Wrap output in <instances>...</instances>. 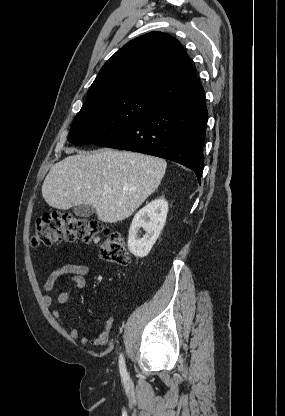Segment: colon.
Instances as JSON below:
<instances>
[{
    "mask_svg": "<svg viewBox=\"0 0 285 416\" xmlns=\"http://www.w3.org/2000/svg\"><path fill=\"white\" fill-rule=\"evenodd\" d=\"M75 240L87 244L99 243L101 256L108 262L119 265H127L130 262V255L121 233L105 229L96 220L71 214L50 213L39 218L35 224L31 245L51 246L57 242Z\"/></svg>",
    "mask_w": 285,
    "mask_h": 416,
    "instance_id": "5ec220e1",
    "label": "colon"
}]
</instances>
